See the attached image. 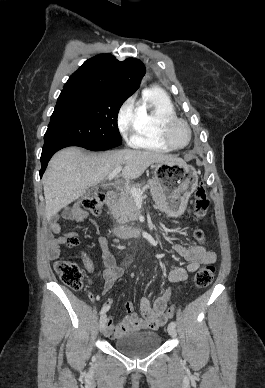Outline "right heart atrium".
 Here are the masks:
<instances>
[{
    "instance_id": "1",
    "label": "right heart atrium",
    "mask_w": 265,
    "mask_h": 388,
    "mask_svg": "<svg viewBox=\"0 0 265 388\" xmlns=\"http://www.w3.org/2000/svg\"><path fill=\"white\" fill-rule=\"evenodd\" d=\"M139 115V105L134 98L128 99L121 108L119 115V124L124 136L128 135L129 130L135 126Z\"/></svg>"
}]
</instances>
